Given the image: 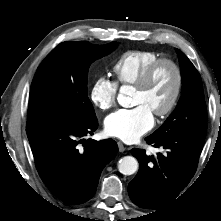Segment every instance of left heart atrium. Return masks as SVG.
<instances>
[{"mask_svg": "<svg viewBox=\"0 0 221 221\" xmlns=\"http://www.w3.org/2000/svg\"><path fill=\"white\" fill-rule=\"evenodd\" d=\"M154 124L153 113L145 105L119 109L105 119V131L125 142H135Z\"/></svg>", "mask_w": 221, "mask_h": 221, "instance_id": "left-heart-atrium-1", "label": "left heart atrium"}]
</instances>
